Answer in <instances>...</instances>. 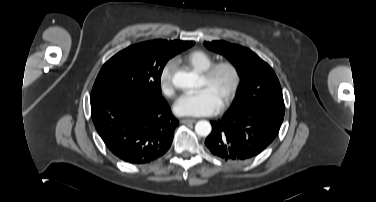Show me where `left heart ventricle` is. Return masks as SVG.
<instances>
[{"label": "left heart ventricle", "mask_w": 376, "mask_h": 202, "mask_svg": "<svg viewBox=\"0 0 376 202\" xmlns=\"http://www.w3.org/2000/svg\"><path fill=\"white\" fill-rule=\"evenodd\" d=\"M231 85V74L227 70H223L218 73L215 79L208 83L203 78L201 79L200 86L208 87L215 94L220 104L222 103L224 97L226 96L229 87Z\"/></svg>", "instance_id": "obj_1"}]
</instances>
